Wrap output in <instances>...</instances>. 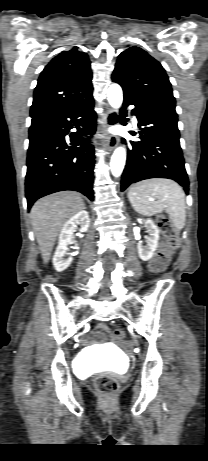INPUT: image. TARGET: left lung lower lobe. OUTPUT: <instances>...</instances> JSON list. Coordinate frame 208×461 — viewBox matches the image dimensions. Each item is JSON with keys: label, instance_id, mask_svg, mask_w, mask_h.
Listing matches in <instances>:
<instances>
[{"label": "left lung lower lobe", "instance_id": "0a47b994", "mask_svg": "<svg viewBox=\"0 0 208 461\" xmlns=\"http://www.w3.org/2000/svg\"><path fill=\"white\" fill-rule=\"evenodd\" d=\"M124 108L134 105L141 141H130L122 174L121 191L130 184L149 178H168L178 182L188 194L189 181L179 142L177 113L174 108L141 104L124 96ZM122 116L125 111H121Z\"/></svg>", "mask_w": 208, "mask_h": 461}]
</instances>
